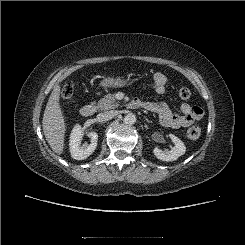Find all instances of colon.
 I'll list each match as a JSON object with an SVG mask.
<instances>
[{
  "instance_id": "colon-1",
  "label": "colon",
  "mask_w": 245,
  "mask_h": 245,
  "mask_svg": "<svg viewBox=\"0 0 245 245\" xmlns=\"http://www.w3.org/2000/svg\"><path fill=\"white\" fill-rule=\"evenodd\" d=\"M74 96V86L70 83L65 84L62 87L61 90V97L64 101H69L73 98ZM179 96L182 99H188L191 96V91L189 88L187 87H182L179 90ZM201 135V130L199 127H191L188 131H187V136L189 139L191 140H196L200 137Z\"/></svg>"
}]
</instances>
